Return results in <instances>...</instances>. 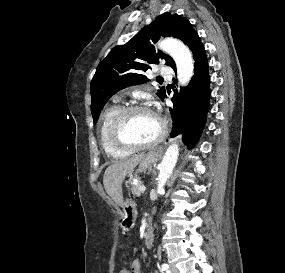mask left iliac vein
<instances>
[{"label":"left iliac vein","mask_w":285,"mask_h":273,"mask_svg":"<svg viewBox=\"0 0 285 273\" xmlns=\"http://www.w3.org/2000/svg\"><path fill=\"white\" fill-rule=\"evenodd\" d=\"M170 273H179V270L175 266L171 265L170 266Z\"/></svg>","instance_id":"1"}]
</instances>
